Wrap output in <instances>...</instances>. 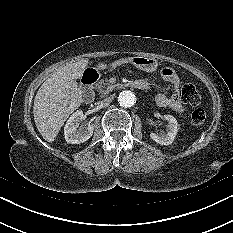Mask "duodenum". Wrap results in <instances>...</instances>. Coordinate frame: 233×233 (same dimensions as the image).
Wrapping results in <instances>:
<instances>
[{
	"instance_id": "1",
	"label": "duodenum",
	"mask_w": 233,
	"mask_h": 233,
	"mask_svg": "<svg viewBox=\"0 0 233 233\" xmlns=\"http://www.w3.org/2000/svg\"><path fill=\"white\" fill-rule=\"evenodd\" d=\"M98 78L99 75L96 71H89L82 77L83 99L86 103H91L94 99V86L98 81ZM130 86L140 90L148 88L146 82L143 80L130 82V80L125 79L123 81H117L114 84V87L117 90H124Z\"/></svg>"
}]
</instances>
